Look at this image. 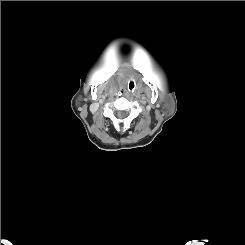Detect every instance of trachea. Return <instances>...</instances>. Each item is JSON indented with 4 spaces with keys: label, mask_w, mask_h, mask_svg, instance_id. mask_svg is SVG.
<instances>
[{
    "label": "trachea",
    "mask_w": 245,
    "mask_h": 245,
    "mask_svg": "<svg viewBox=\"0 0 245 245\" xmlns=\"http://www.w3.org/2000/svg\"><path fill=\"white\" fill-rule=\"evenodd\" d=\"M127 88L130 92H133L136 89V83L134 80H129L127 83Z\"/></svg>",
    "instance_id": "trachea-1"
}]
</instances>
